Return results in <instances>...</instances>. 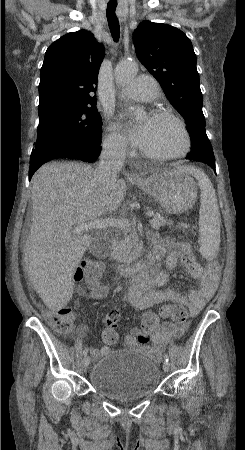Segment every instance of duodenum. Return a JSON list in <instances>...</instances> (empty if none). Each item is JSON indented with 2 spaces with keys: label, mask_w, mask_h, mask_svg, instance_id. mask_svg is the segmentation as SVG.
<instances>
[{
  "label": "duodenum",
  "mask_w": 245,
  "mask_h": 450,
  "mask_svg": "<svg viewBox=\"0 0 245 450\" xmlns=\"http://www.w3.org/2000/svg\"><path fill=\"white\" fill-rule=\"evenodd\" d=\"M111 237L108 240V246L113 248L116 244L115 238L112 236L114 231L107 229L105 231ZM156 265V260L153 257H148L144 262H133L130 264L122 265L120 271L125 276L137 275L143 272L151 271Z\"/></svg>",
  "instance_id": "1"
}]
</instances>
